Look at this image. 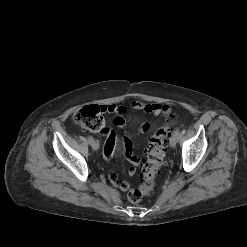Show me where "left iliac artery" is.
I'll use <instances>...</instances> for the list:
<instances>
[{"label": "left iliac artery", "instance_id": "left-iliac-artery-1", "mask_svg": "<svg viewBox=\"0 0 247 247\" xmlns=\"http://www.w3.org/2000/svg\"><path fill=\"white\" fill-rule=\"evenodd\" d=\"M174 133H175V135L179 136V134H180L179 128H176L175 131H174Z\"/></svg>", "mask_w": 247, "mask_h": 247}]
</instances>
